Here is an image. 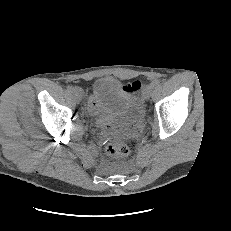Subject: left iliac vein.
I'll list each match as a JSON object with an SVG mask.
<instances>
[{"mask_svg": "<svg viewBox=\"0 0 231 231\" xmlns=\"http://www.w3.org/2000/svg\"><path fill=\"white\" fill-rule=\"evenodd\" d=\"M152 93H153V86L151 84L146 85L143 90V98L145 100H148L151 97Z\"/></svg>", "mask_w": 231, "mask_h": 231, "instance_id": "4c4485c4", "label": "left iliac vein"}]
</instances>
